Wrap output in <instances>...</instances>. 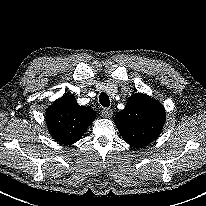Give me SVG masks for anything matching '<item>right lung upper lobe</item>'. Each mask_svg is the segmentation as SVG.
I'll use <instances>...</instances> for the list:
<instances>
[{
    "label": "right lung upper lobe",
    "mask_w": 206,
    "mask_h": 206,
    "mask_svg": "<svg viewBox=\"0 0 206 206\" xmlns=\"http://www.w3.org/2000/svg\"><path fill=\"white\" fill-rule=\"evenodd\" d=\"M95 118L96 113L78 105L73 95L57 99L46 110V123L51 136L64 145L80 140Z\"/></svg>",
    "instance_id": "cb5924a9"
}]
</instances>
